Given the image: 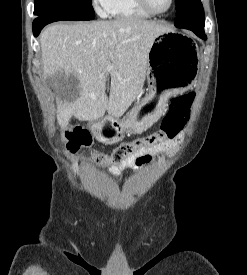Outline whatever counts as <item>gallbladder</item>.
I'll use <instances>...</instances> for the list:
<instances>
[{
  "label": "gallbladder",
  "instance_id": "gallbladder-1",
  "mask_svg": "<svg viewBox=\"0 0 247 275\" xmlns=\"http://www.w3.org/2000/svg\"><path fill=\"white\" fill-rule=\"evenodd\" d=\"M47 83L61 98L70 93L78 94L80 84L76 76L63 72H57L49 76Z\"/></svg>",
  "mask_w": 247,
  "mask_h": 275
}]
</instances>
